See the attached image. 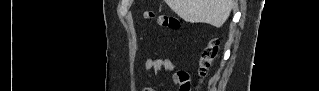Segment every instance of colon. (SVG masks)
Here are the masks:
<instances>
[{"instance_id": "obj_1", "label": "colon", "mask_w": 319, "mask_h": 91, "mask_svg": "<svg viewBox=\"0 0 319 91\" xmlns=\"http://www.w3.org/2000/svg\"><path fill=\"white\" fill-rule=\"evenodd\" d=\"M147 19L155 20L158 25L161 27L176 31L180 29L181 22L178 18L167 15V14H159L156 12H147L146 13ZM219 49L218 41L212 40L210 41L206 47L202 50L200 56V74L205 75L211 66L213 60L215 59ZM179 90L180 91H190L191 90V82L190 78L187 74L181 73L178 80Z\"/></svg>"}]
</instances>
